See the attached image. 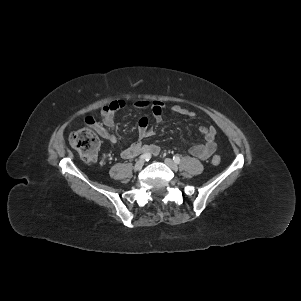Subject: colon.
Listing matches in <instances>:
<instances>
[{
    "label": "colon",
    "instance_id": "1",
    "mask_svg": "<svg viewBox=\"0 0 301 301\" xmlns=\"http://www.w3.org/2000/svg\"><path fill=\"white\" fill-rule=\"evenodd\" d=\"M71 146L80 154L83 160L94 162L97 159L99 139L94 130L90 128H82L70 135ZM221 157L214 155L212 164L219 165Z\"/></svg>",
    "mask_w": 301,
    "mask_h": 301
}]
</instances>
